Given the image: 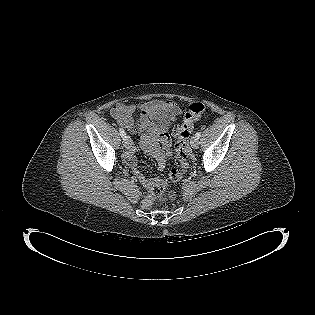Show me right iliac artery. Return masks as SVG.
Returning a JSON list of instances; mask_svg holds the SVG:
<instances>
[{"instance_id":"obj_1","label":"right iliac artery","mask_w":315,"mask_h":315,"mask_svg":"<svg viewBox=\"0 0 315 315\" xmlns=\"http://www.w3.org/2000/svg\"><path fill=\"white\" fill-rule=\"evenodd\" d=\"M119 132H120L121 137L124 139L126 137V133H125L124 129L119 128Z\"/></svg>"}]
</instances>
